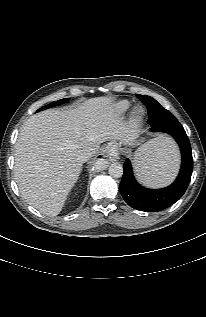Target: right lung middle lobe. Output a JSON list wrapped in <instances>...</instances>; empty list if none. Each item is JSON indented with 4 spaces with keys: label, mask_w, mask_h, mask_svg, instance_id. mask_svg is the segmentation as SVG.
<instances>
[{
    "label": "right lung middle lobe",
    "mask_w": 206,
    "mask_h": 317,
    "mask_svg": "<svg viewBox=\"0 0 206 317\" xmlns=\"http://www.w3.org/2000/svg\"><path fill=\"white\" fill-rule=\"evenodd\" d=\"M65 101H66V99L58 100L57 102H54V103L48 104V105H46V106H43L42 108H40L39 110H37V112H38V111L45 110V109H48V108H51V107H54V106H57V105H59V104L65 102Z\"/></svg>",
    "instance_id": "right-lung-middle-lobe-1"
}]
</instances>
